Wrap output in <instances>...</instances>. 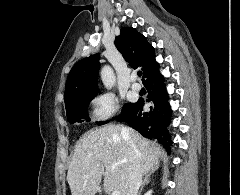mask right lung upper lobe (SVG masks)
Segmentation results:
<instances>
[{
  "instance_id": "1",
  "label": "right lung upper lobe",
  "mask_w": 240,
  "mask_h": 195,
  "mask_svg": "<svg viewBox=\"0 0 240 195\" xmlns=\"http://www.w3.org/2000/svg\"><path fill=\"white\" fill-rule=\"evenodd\" d=\"M114 43L133 68L142 70L144 85L159 73L154 48L135 28H122ZM99 65V55L95 54L80 60L73 66L66 82L65 106L76 99L96 96Z\"/></svg>"
}]
</instances>
